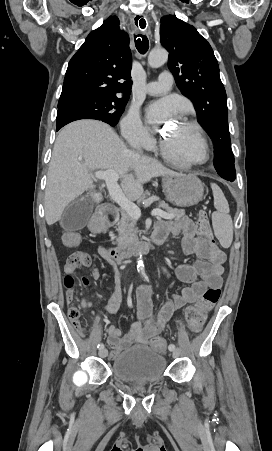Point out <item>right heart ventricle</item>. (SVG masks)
Masks as SVG:
<instances>
[{
    "instance_id": "obj_1",
    "label": "right heart ventricle",
    "mask_w": 272,
    "mask_h": 451,
    "mask_svg": "<svg viewBox=\"0 0 272 451\" xmlns=\"http://www.w3.org/2000/svg\"><path fill=\"white\" fill-rule=\"evenodd\" d=\"M170 102H172L173 104L176 103L177 101L174 98H170L168 99Z\"/></svg>"
}]
</instances>
